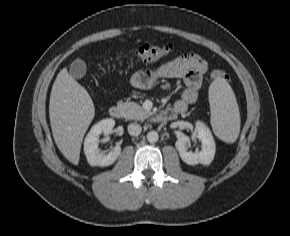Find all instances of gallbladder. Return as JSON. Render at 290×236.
Returning <instances> with one entry per match:
<instances>
[{
    "label": "gallbladder",
    "instance_id": "1",
    "mask_svg": "<svg viewBox=\"0 0 290 236\" xmlns=\"http://www.w3.org/2000/svg\"><path fill=\"white\" fill-rule=\"evenodd\" d=\"M86 73V64L84 61L77 59L70 65V74L74 78H82Z\"/></svg>",
    "mask_w": 290,
    "mask_h": 236
}]
</instances>
